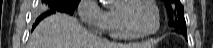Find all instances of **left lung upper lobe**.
Listing matches in <instances>:
<instances>
[{
  "label": "left lung upper lobe",
  "instance_id": "1",
  "mask_svg": "<svg viewBox=\"0 0 213 48\" xmlns=\"http://www.w3.org/2000/svg\"><path fill=\"white\" fill-rule=\"evenodd\" d=\"M169 13L170 24L186 32V23L184 19V8L179 0H163Z\"/></svg>",
  "mask_w": 213,
  "mask_h": 48
}]
</instances>
